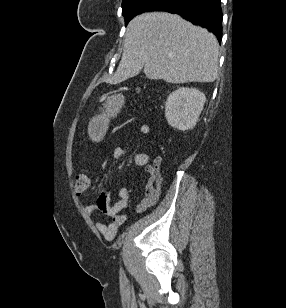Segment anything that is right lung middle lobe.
Segmentation results:
<instances>
[{"label": "right lung middle lobe", "instance_id": "obj_1", "mask_svg": "<svg viewBox=\"0 0 286 308\" xmlns=\"http://www.w3.org/2000/svg\"><path fill=\"white\" fill-rule=\"evenodd\" d=\"M168 0H123L122 15L125 18V24L136 15L153 11Z\"/></svg>", "mask_w": 286, "mask_h": 308}]
</instances>
